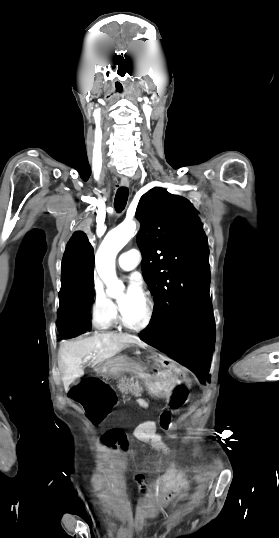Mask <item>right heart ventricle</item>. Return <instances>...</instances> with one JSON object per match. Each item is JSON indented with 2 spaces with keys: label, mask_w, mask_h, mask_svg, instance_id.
I'll return each instance as SVG.
<instances>
[{
  "label": "right heart ventricle",
  "mask_w": 279,
  "mask_h": 538,
  "mask_svg": "<svg viewBox=\"0 0 279 538\" xmlns=\"http://www.w3.org/2000/svg\"><path fill=\"white\" fill-rule=\"evenodd\" d=\"M138 227L135 211L126 210L121 224L116 227L111 233L117 235H132ZM116 318V317H115Z\"/></svg>",
  "instance_id": "right-heart-ventricle-1"
}]
</instances>
